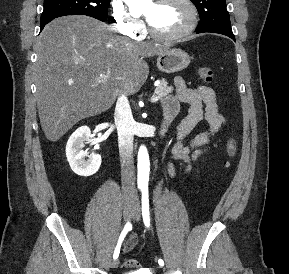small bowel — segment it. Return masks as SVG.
Here are the masks:
<instances>
[{"label": "small bowel", "mask_w": 289, "mask_h": 274, "mask_svg": "<svg viewBox=\"0 0 289 274\" xmlns=\"http://www.w3.org/2000/svg\"><path fill=\"white\" fill-rule=\"evenodd\" d=\"M176 96H166L163 100L164 114L174 112L179 108V102L186 103L188 107L187 116L178 125L176 130V143L172 149V160L168 163V173L171 177L176 175L175 160H183L187 163L185 173L192 172V163L208 151L205 145L212 136L226 125V119L221 113L216 94L208 86L199 85L190 88L181 77L175 78ZM207 122L208 128L194 136L189 144L184 145L182 140L201 120ZM136 234H131L123 246L125 253L131 251L137 244Z\"/></svg>", "instance_id": "c3829d8e"}]
</instances>
